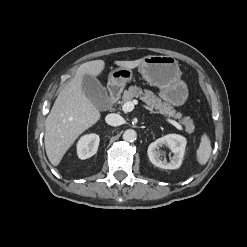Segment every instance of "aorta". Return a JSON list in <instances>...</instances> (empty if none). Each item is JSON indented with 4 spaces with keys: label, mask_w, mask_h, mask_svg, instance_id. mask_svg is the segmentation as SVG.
<instances>
[{
    "label": "aorta",
    "mask_w": 247,
    "mask_h": 247,
    "mask_svg": "<svg viewBox=\"0 0 247 247\" xmlns=\"http://www.w3.org/2000/svg\"><path fill=\"white\" fill-rule=\"evenodd\" d=\"M137 138V133L135 130L133 129H127L124 133H123V140L127 141V142H133L135 141Z\"/></svg>",
    "instance_id": "1"
}]
</instances>
